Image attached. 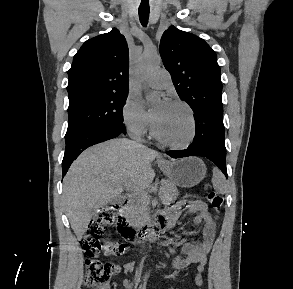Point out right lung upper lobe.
<instances>
[{
    "label": "right lung upper lobe",
    "mask_w": 293,
    "mask_h": 289,
    "mask_svg": "<svg viewBox=\"0 0 293 289\" xmlns=\"http://www.w3.org/2000/svg\"><path fill=\"white\" fill-rule=\"evenodd\" d=\"M129 50L125 37L113 29L87 40L68 71L69 101L92 95L128 93Z\"/></svg>",
    "instance_id": "1"
}]
</instances>
